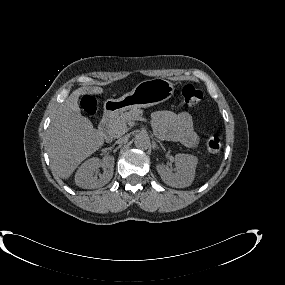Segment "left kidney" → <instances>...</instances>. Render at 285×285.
<instances>
[{"instance_id": "left-kidney-1", "label": "left kidney", "mask_w": 285, "mask_h": 285, "mask_svg": "<svg viewBox=\"0 0 285 285\" xmlns=\"http://www.w3.org/2000/svg\"><path fill=\"white\" fill-rule=\"evenodd\" d=\"M197 163L198 159L196 156L179 153L175 155L176 174L167 171L161 165L157 166V171L167 185L176 188H185L190 186L194 180Z\"/></svg>"}]
</instances>
